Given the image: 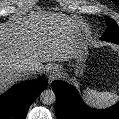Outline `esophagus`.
I'll return each instance as SVG.
<instances>
[{"mask_svg": "<svg viewBox=\"0 0 119 119\" xmlns=\"http://www.w3.org/2000/svg\"><path fill=\"white\" fill-rule=\"evenodd\" d=\"M59 75V71L57 70V68H52L49 73H48V79L49 81H53L55 78H57Z\"/></svg>", "mask_w": 119, "mask_h": 119, "instance_id": "1", "label": "esophagus"}]
</instances>
